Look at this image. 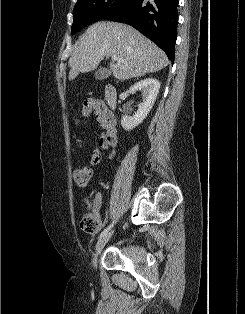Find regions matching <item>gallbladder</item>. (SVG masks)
Here are the masks:
<instances>
[{"mask_svg": "<svg viewBox=\"0 0 245 314\" xmlns=\"http://www.w3.org/2000/svg\"><path fill=\"white\" fill-rule=\"evenodd\" d=\"M110 75V70L107 68L101 67L95 72V78L98 80H104L107 79Z\"/></svg>", "mask_w": 245, "mask_h": 314, "instance_id": "bac80fb5", "label": "gallbladder"}]
</instances>
